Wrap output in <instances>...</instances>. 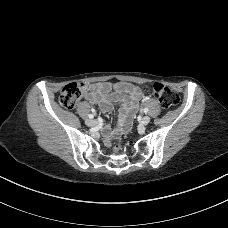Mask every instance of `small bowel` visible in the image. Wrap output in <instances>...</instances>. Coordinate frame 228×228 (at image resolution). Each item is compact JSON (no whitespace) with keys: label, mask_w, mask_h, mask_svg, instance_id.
I'll use <instances>...</instances> for the list:
<instances>
[{"label":"small bowel","mask_w":228,"mask_h":228,"mask_svg":"<svg viewBox=\"0 0 228 228\" xmlns=\"http://www.w3.org/2000/svg\"><path fill=\"white\" fill-rule=\"evenodd\" d=\"M91 88V92L86 96V101L97 104L103 113L110 112L114 103L120 107L117 126L113 130L108 126L104 127V136L111 138L127 132L130 128V119L143 98L140 89L135 85L123 82L95 83Z\"/></svg>","instance_id":"obj_1"}]
</instances>
